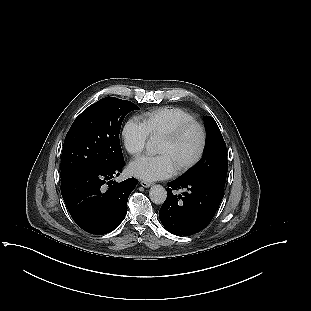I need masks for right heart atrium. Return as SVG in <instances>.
Here are the masks:
<instances>
[{"instance_id":"right-heart-atrium-1","label":"right heart atrium","mask_w":311,"mask_h":311,"mask_svg":"<svg viewBox=\"0 0 311 311\" xmlns=\"http://www.w3.org/2000/svg\"><path fill=\"white\" fill-rule=\"evenodd\" d=\"M122 138L129 154L137 157L145 149L149 136L142 122L130 118L123 127Z\"/></svg>"}]
</instances>
